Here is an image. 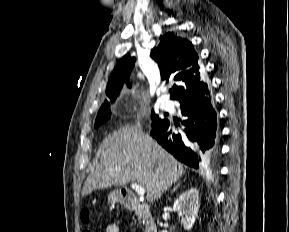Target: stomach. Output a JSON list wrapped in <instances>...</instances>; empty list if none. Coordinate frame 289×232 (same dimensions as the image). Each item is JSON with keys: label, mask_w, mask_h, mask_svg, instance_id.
<instances>
[{"label": "stomach", "mask_w": 289, "mask_h": 232, "mask_svg": "<svg viewBox=\"0 0 289 232\" xmlns=\"http://www.w3.org/2000/svg\"><path fill=\"white\" fill-rule=\"evenodd\" d=\"M109 200H110L111 202H117V201H120L121 198H120V196H119V194H118L117 192H114V193H111V194L109 195Z\"/></svg>", "instance_id": "stomach-1"}]
</instances>
